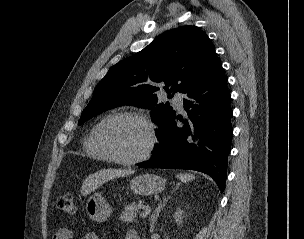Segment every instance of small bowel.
I'll return each mask as SVG.
<instances>
[{"label":"small bowel","instance_id":"obj_1","mask_svg":"<svg viewBox=\"0 0 304 239\" xmlns=\"http://www.w3.org/2000/svg\"><path fill=\"white\" fill-rule=\"evenodd\" d=\"M137 233L133 230L129 231L125 237V239H133ZM53 239H74V233L72 230L68 228H59L53 235ZM83 239H100L99 236L95 232H88L85 234Z\"/></svg>","mask_w":304,"mask_h":239}]
</instances>
